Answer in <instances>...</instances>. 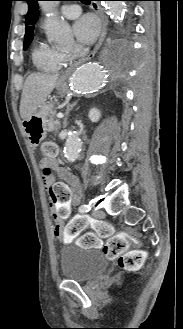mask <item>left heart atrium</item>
Masks as SVG:
<instances>
[{
    "mask_svg": "<svg viewBox=\"0 0 183 329\" xmlns=\"http://www.w3.org/2000/svg\"><path fill=\"white\" fill-rule=\"evenodd\" d=\"M77 41L82 45L93 43L100 31L99 22L92 14L80 17L73 26Z\"/></svg>",
    "mask_w": 183,
    "mask_h": 329,
    "instance_id": "left-heart-atrium-1",
    "label": "left heart atrium"
}]
</instances>
